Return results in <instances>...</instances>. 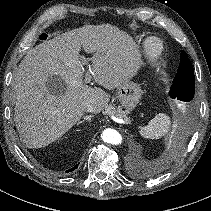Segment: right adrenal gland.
<instances>
[{
  "mask_svg": "<svg viewBox=\"0 0 211 211\" xmlns=\"http://www.w3.org/2000/svg\"><path fill=\"white\" fill-rule=\"evenodd\" d=\"M93 117V115H87L83 118V120L77 122V125H80L81 123L85 122V121H89L91 120V118Z\"/></svg>",
  "mask_w": 211,
  "mask_h": 211,
  "instance_id": "right-adrenal-gland-1",
  "label": "right adrenal gland"
}]
</instances>
